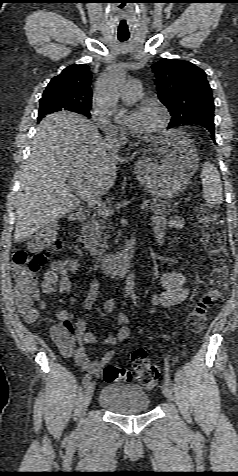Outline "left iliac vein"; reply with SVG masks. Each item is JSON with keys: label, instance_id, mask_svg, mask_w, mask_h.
Instances as JSON below:
<instances>
[{"label": "left iliac vein", "instance_id": "1", "mask_svg": "<svg viewBox=\"0 0 238 476\" xmlns=\"http://www.w3.org/2000/svg\"><path fill=\"white\" fill-rule=\"evenodd\" d=\"M162 391L169 401H174L173 389L166 382L162 386Z\"/></svg>", "mask_w": 238, "mask_h": 476}]
</instances>
